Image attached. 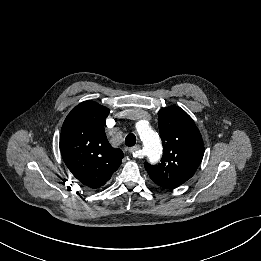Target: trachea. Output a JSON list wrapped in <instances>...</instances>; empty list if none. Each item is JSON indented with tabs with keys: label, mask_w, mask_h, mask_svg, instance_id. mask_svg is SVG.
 <instances>
[{
	"label": "trachea",
	"mask_w": 261,
	"mask_h": 261,
	"mask_svg": "<svg viewBox=\"0 0 261 261\" xmlns=\"http://www.w3.org/2000/svg\"><path fill=\"white\" fill-rule=\"evenodd\" d=\"M125 144L128 147H132L136 144V136L132 133L128 134L125 138Z\"/></svg>",
	"instance_id": "1"
}]
</instances>
